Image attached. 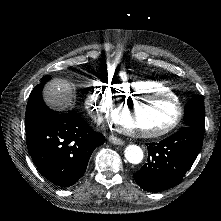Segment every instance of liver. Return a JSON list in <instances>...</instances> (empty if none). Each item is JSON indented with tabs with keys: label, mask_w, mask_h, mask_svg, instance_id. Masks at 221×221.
<instances>
[{
	"label": "liver",
	"mask_w": 221,
	"mask_h": 221,
	"mask_svg": "<svg viewBox=\"0 0 221 221\" xmlns=\"http://www.w3.org/2000/svg\"><path fill=\"white\" fill-rule=\"evenodd\" d=\"M76 90L74 82L63 77H53L43 85V102L56 111L65 110L73 106Z\"/></svg>",
	"instance_id": "6515ba94"
}]
</instances>
